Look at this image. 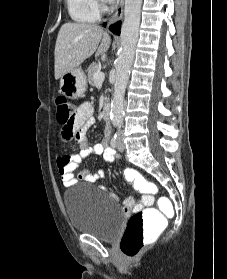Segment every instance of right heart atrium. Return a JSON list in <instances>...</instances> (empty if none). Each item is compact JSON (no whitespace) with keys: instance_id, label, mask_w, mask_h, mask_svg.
Masks as SVG:
<instances>
[{"instance_id":"obj_1","label":"right heart atrium","mask_w":227,"mask_h":279,"mask_svg":"<svg viewBox=\"0 0 227 279\" xmlns=\"http://www.w3.org/2000/svg\"><path fill=\"white\" fill-rule=\"evenodd\" d=\"M93 3L95 5L96 9L101 8V4L98 2V0H93Z\"/></svg>"}]
</instances>
